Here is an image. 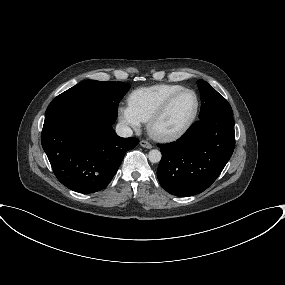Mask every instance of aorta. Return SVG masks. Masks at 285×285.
Returning a JSON list of instances; mask_svg holds the SVG:
<instances>
[{"label": "aorta", "mask_w": 285, "mask_h": 285, "mask_svg": "<svg viewBox=\"0 0 285 285\" xmlns=\"http://www.w3.org/2000/svg\"><path fill=\"white\" fill-rule=\"evenodd\" d=\"M161 152L157 149H153L149 152L148 158L151 163H158L161 160Z\"/></svg>", "instance_id": "1"}]
</instances>
